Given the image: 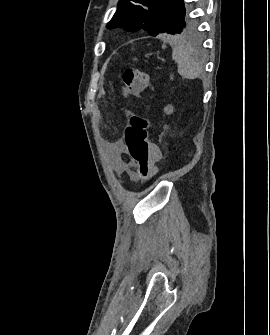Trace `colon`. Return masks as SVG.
<instances>
[{
  "mask_svg": "<svg viewBox=\"0 0 270 335\" xmlns=\"http://www.w3.org/2000/svg\"><path fill=\"white\" fill-rule=\"evenodd\" d=\"M123 90L134 96L142 94L148 86L149 79L144 70L127 68L122 73ZM152 127L149 118L133 113L124 130V140L130 157L136 162V179L146 182L155 171V163H161V148H156V141H148V130Z\"/></svg>",
  "mask_w": 270,
  "mask_h": 335,
  "instance_id": "colon-1",
  "label": "colon"
}]
</instances>
